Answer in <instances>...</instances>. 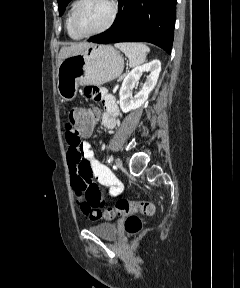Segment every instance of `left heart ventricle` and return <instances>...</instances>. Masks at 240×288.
<instances>
[{
  "mask_svg": "<svg viewBox=\"0 0 240 288\" xmlns=\"http://www.w3.org/2000/svg\"><path fill=\"white\" fill-rule=\"evenodd\" d=\"M108 0H87L77 16V26L81 32L88 33L101 28L110 15Z\"/></svg>",
  "mask_w": 240,
  "mask_h": 288,
  "instance_id": "1",
  "label": "left heart ventricle"
}]
</instances>
